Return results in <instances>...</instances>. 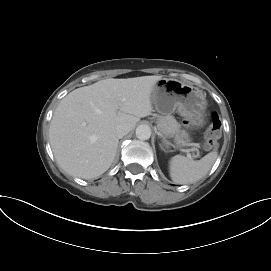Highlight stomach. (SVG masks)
<instances>
[{"label":"stomach","instance_id":"stomach-1","mask_svg":"<svg viewBox=\"0 0 271 271\" xmlns=\"http://www.w3.org/2000/svg\"><path fill=\"white\" fill-rule=\"evenodd\" d=\"M151 100L158 112L170 114L177 111L193 127H200L205 122L206 94L197 87L176 79L161 78L153 86ZM165 136L168 135L165 134ZM174 136L175 143L179 147L187 146L191 142L188 134ZM164 143L166 146L170 144L166 139H164Z\"/></svg>","mask_w":271,"mask_h":271}]
</instances>
